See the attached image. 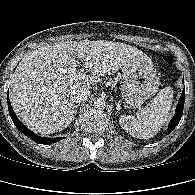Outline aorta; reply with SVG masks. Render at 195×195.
<instances>
[{
	"label": "aorta",
	"instance_id": "obj_1",
	"mask_svg": "<svg viewBox=\"0 0 195 195\" xmlns=\"http://www.w3.org/2000/svg\"><path fill=\"white\" fill-rule=\"evenodd\" d=\"M93 105H94V107H95L96 109H104L105 106H106V102H105V100L99 98V99H96V100L94 101Z\"/></svg>",
	"mask_w": 195,
	"mask_h": 195
}]
</instances>
